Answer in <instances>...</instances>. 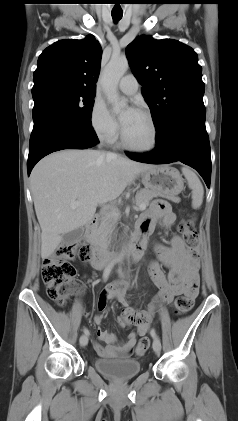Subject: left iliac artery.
Instances as JSON below:
<instances>
[{
	"mask_svg": "<svg viewBox=\"0 0 238 421\" xmlns=\"http://www.w3.org/2000/svg\"><path fill=\"white\" fill-rule=\"evenodd\" d=\"M119 274H120V276H121V277H123V274H122V271H121V270H119ZM150 334H151V336H152L154 339L158 338V336H157V334H156V332H155V330H154V329H152V330H151Z\"/></svg>",
	"mask_w": 238,
	"mask_h": 421,
	"instance_id": "left-iliac-artery-1",
	"label": "left iliac artery"
}]
</instances>
